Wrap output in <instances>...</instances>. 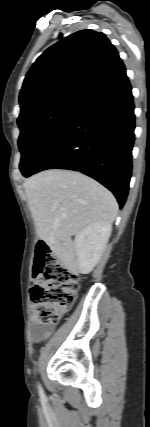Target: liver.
<instances>
[{
    "label": "liver",
    "mask_w": 150,
    "mask_h": 427,
    "mask_svg": "<svg viewBox=\"0 0 150 427\" xmlns=\"http://www.w3.org/2000/svg\"><path fill=\"white\" fill-rule=\"evenodd\" d=\"M36 233L65 264H73L71 236L94 223L112 224L118 212L113 194L79 172L45 170L24 182Z\"/></svg>",
    "instance_id": "obj_1"
}]
</instances>
